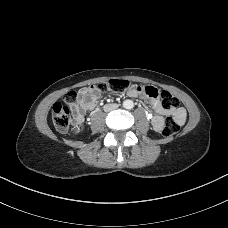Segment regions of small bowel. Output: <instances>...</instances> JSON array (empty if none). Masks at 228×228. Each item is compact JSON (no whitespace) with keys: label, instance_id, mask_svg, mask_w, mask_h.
Segmentation results:
<instances>
[{"label":"small bowel","instance_id":"small-bowel-1","mask_svg":"<svg viewBox=\"0 0 228 228\" xmlns=\"http://www.w3.org/2000/svg\"><path fill=\"white\" fill-rule=\"evenodd\" d=\"M100 93L101 91L93 85L83 88L78 92V99L71 105V109L74 111L75 119L79 127H81L84 123L85 112L96 108ZM126 94L130 98H137L140 95V93L135 89H127ZM152 106L157 113V115L152 119V125L154 130L160 131L164 125L165 109L158 98L152 99ZM173 114L180 124L185 122L186 111L184 108H177Z\"/></svg>","mask_w":228,"mask_h":228}]
</instances>
